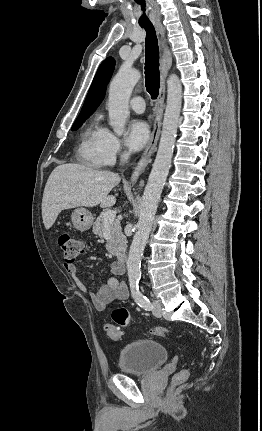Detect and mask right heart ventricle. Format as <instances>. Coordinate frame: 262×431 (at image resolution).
<instances>
[{"label":"right heart ventricle","mask_w":262,"mask_h":431,"mask_svg":"<svg viewBox=\"0 0 262 431\" xmlns=\"http://www.w3.org/2000/svg\"><path fill=\"white\" fill-rule=\"evenodd\" d=\"M104 128L97 119H93L84 129L78 148L80 159L90 167H101L104 165L101 143Z\"/></svg>","instance_id":"1"}]
</instances>
